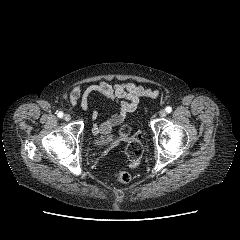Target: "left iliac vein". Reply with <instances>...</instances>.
<instances>
[{"label":"left iliac vein","instance_id":"1","mask_svg":"<svg viewBox=\"0 0 240 240\" xmlns=\"http://www.w3.org/2000/svg\"><path fill=\"white\" fill-rule=\"evenodd\" d=\"M159 116L160 117H165L166 116V111L165 110H163V109H161L160 111H159Z\"/></svg>","mask_w":240,"mask_h":240}]
</instances>
